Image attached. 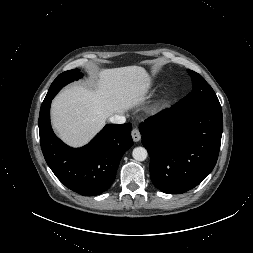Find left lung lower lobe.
<instances>
[{"label": "left lung lower lobe", "instance_id": "1", "mask_svg": "<svg viewBox=\"0 0 253 253\" xmlns=\"http://www.w3.org/2000/svg\"><path fill=\"white\" fill-rule=\"evenodd\" d=\"M150 154V176L164 193L181 194L204 180L219 155L222 110L173 105L139 125Z\"/></svg>", "mask_w": 253, "mask_h": 253}]
</instances>
